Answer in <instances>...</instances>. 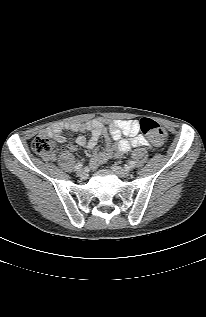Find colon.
<instances>
[{
	"label": "colon",
	"mask_w": 206,
	"mask_h": 317,
	"mask_svg": "<svg viewBox=\"0 0 206 317\" xmlns=\"http://www.w3.org/2000/svg\"><path fill=\"white\" fill-rule=\"evenodd\" d=\"M141 131L150 138V140L160 145L166 138L165 129L155 120L150 118H142L139 122ZM54 145L50 137L44 134L38 135L32 141V150L39 155L47 156L53 151Z\"/></svg>",
	"instance_id": "1"
}]
</instances>
